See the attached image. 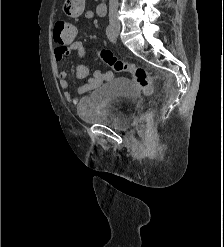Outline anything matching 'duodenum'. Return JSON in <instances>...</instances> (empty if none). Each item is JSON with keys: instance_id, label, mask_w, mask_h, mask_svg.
<instances>
[{"instance_id": "410a0bca", "label": "duodenum", "mask_w": 224, "mask_h": 247, "mask_svg": "<svg viewBox=\"0 0 224 247\" xmlns=\"http://www.w3.org/2000/svg\"><path fill=\"white\" fill-rule=\"evenodd\" d=\"M106 9H107V5L103 0L96 5V12L99 16L105 15Z\"/></svg>"}]
</instances>
